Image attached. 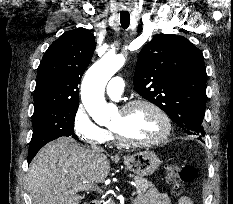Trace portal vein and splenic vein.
Returning a JSON list of instances; mask_svg holds the SVG:
<instances>
[{"mask_svg":"<svg viewBox=\"0 0 233 204\" xmlns=\"http://www.w3.org/2000/svg\"><path fill=\"white\" fill-rule=\"evenodd\" d=\"M75 191H78V190H90V191H97L98 193H101L102 190L97 186V185H94V184H91V185H81V186H78L77 188L74 189ZM136 192L133 191V194H135Z\"/></svg>","mask_w":233,"mask_h":204,"instance_id":"obj_1","label":"portal vein and splenic vein"}]
</instances>
